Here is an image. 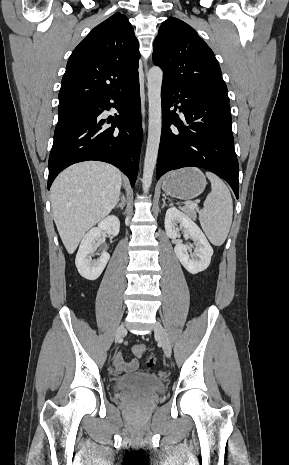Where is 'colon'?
I'll list each match as a JSON object with an SVG mask.
<instances>
[{"instance_id":"colon-1","label":"colon","mask_w":289,"mask_h":465,"mask_svg":"<svg viewBox=\"0 0 289 465\" xmlns=\"http://www.w3.org/2000/svg\"><path fill=\"white\" fill-rule=\"evenodd\" d=\"M132 351L135 353V354H143L146 352V346L145 345H142V344H137V345H134L133 348H132ZM154 363V357L152 355H149L148 358H147V366H152Z\"/></svg>"}]
</instances>
